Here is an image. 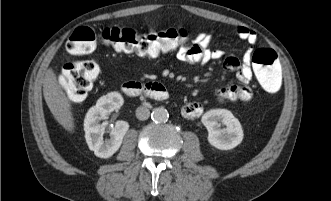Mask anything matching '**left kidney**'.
I'll use <instances>...</instances> for the list:
<instances>
[{"instance_id":"1","label":"left kidney","mask_w":331,"mask_h":201,"mask_svg":"<svg viewBox=\"0 0 331 201\" xmlns=\"http://www.w3.org/2000/svg\"><path fill=\"white\" fill-rule=\"evenodd\" d=\"M201 122L208 130V142L217 149H233L243 140L242 126L229 110H209L202 116ZM221 124L225 128L221 129Z\"/></svg>"}]
</instances>
